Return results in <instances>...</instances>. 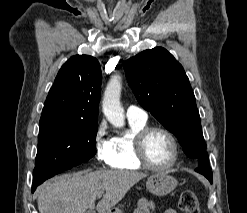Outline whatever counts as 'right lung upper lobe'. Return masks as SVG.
<instances>
[{
  "instance_id": "1",
  "label": "right lung upper lobe",
  "mask_w": 247,
  "mask_h": 213,
  "mask_svg": "<svg viewBox=\"0 0 247 213\" xmlns=\"http://www.w3.org/2000/svg\"><path fill=\"white\" fill-rule=\"evenodd\" d=\"M101 68L96 58L72 56L59 70L42 110L40 123L68 121L97 124Z\"/></svg>"
}]
</instances>
